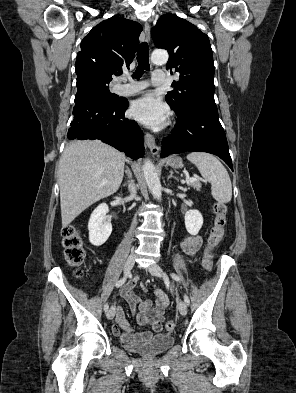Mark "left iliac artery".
<instances>
[{
	"mask_svg": "<svg viewBox=\"0 0 296 393\" xmlns=\"http://www.w3.org/2000/svg\"><path fill=\"white\" fill-rule=\"evenodd\" d=\"M170 276H171V278L174 279L175 281L180 282V277H179L176 273L172 272V273H170ZM184 301H185V303H186L187 305L190 304V299H189V297H188L186 294L184 295Z\"/></svg>",
	"mask_w": 296,
	"mask_h": 393,
	"instance_id": "obj_1",
	"label": "left iliac artery"
}]
</instances>
